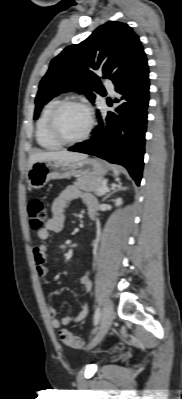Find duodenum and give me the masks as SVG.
Returning a JSON list of instances; mask_svg holds the SVG:
<instances>
[{"instance_id":"410a0bca","label":"duodenum","mask_w":182,"mask_h":399,"mask_svg":"<svg viewBox=\"0 0 182 399\" xmlns=\"http://www.w3.org/2000/svg\"><path fill=\"white\" fill-rule=\"evenodd\" d=\"M88 214H89L90 219L94 220L96 218L97 210L89 209Z\"/></svg>"}]
</instances>
